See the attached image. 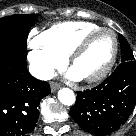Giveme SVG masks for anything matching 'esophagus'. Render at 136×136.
Masks as SVG:
<instances>
[{"label":"esophagus","mask_w":136,"mask_h":136,"mask_svg":"<svg viewBox=\"0 0 136 136\" xmlns=\"http://www.w3.org/2000/svg\"><path fill=\"white\" fill-rule=\"evenodd\" d=\"M50 88H51V92H55L59 88V85L55 82H51Z\"/></svg>","instance_id":"obj_1"}]
</instances>
